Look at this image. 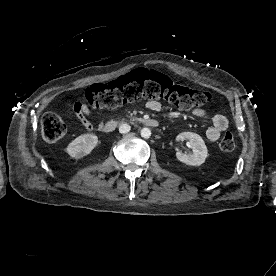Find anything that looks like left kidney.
Listing matches in <instances>:
<instances>
[{
	"mask_svg": "<svg viewBox=\"0 0 276 276\" xmlns=\"http://www.w3.org/2000/svg\"><path fill=\"white\" fill-rule=\"evenodd\" d=\"M176 140H188L192 148V154H186L177 149L176 157L179 161L191 166H199L205 162L208 150L200 135L193 132H183L176 137Z\"/></svg>",
	"mask_w": 276,
	"mask_h": 276,
	"instance_id": "5707ae66",
	"label": "left kidney"
}]
</instances>
